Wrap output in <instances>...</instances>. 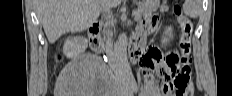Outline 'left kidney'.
<instances>
[{"label":"left kidney","instance_id":"left-kidney-1","mask_svg":"<svg viewBox=\"0 0 232 96\" xmlns=\"http://www.w3.org/2000/svg\"><path fill=\"white\" fill-rule=\"evenodd\" d=\"M164 34H165V37L162 39V44L166 45L169 42L170 38H173L172 28L167 27Z\"/></svg>","mask_w":232,"mask_h":96}]
</instances>
